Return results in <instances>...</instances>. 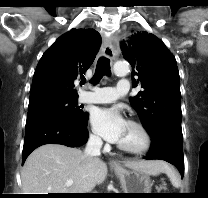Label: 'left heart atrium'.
<instances>
[{
  "label": "left heart atrium",
  "instance_id": "obj_1",
  "mask_svg": "<svg viewBox=\"0 0 208 198\" xmlns=\"http://www.w3.org/2000/svg\"><path fill=\"white\" fill-rule=\"evenodd\" d=\"M118 108H97L91 114L93 129L109 142H118L127 125Z\"/></svg>",
  "mask_w": 208,
  "mask_h": 198
}]
</instances>
